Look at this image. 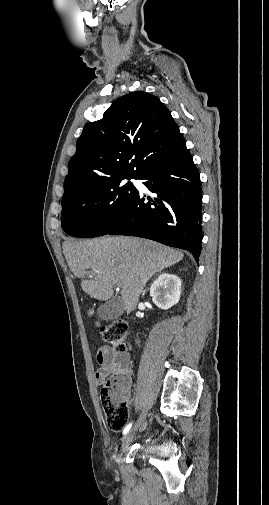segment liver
Here are the masks:
<instances>
[{
    "instance_id": "6515ba94",
    "label": "liver",
    "mask_w": 269,
    "mask_h": 505,
    "mask_svg": "<svg viewBox=\"0 0 269 505\" xmlns=\"http://www.w3.org/2000/svg\"><path fill=\"white\" fill-rule=\"evenodd\" d=\"M63 253L70 270L81 278V288L90 297L106 301L113 296L114 286L120 287L127 313L136 308L144 286L154 274L184 257L181 251L160 243L126 236L67 240ZM88 269L91 271L87 272Z\"/></svg>"
}]
</instances>
